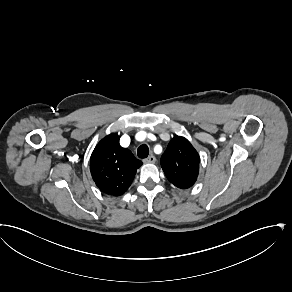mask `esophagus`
I'll list each match as a JSON object with an SVG mask.
<instances>
[{
  "instance_id": "1",
  "label": "esophagus",
  "mask_w": 292,
  "mask_h": 292,
  "mask_svg": "<svg viewBox=\"0 0 292 292\" xmlns=\"http://www.w3.org/2000/svg\"><path fill=\"white\" fill-rule=\"evenodd\" d=\"M143 162H144L145 164L155 163V162H156V158H155L154 156H149V157L145 158V159L143 160Z\"/></svg>"
}]
</instances>
